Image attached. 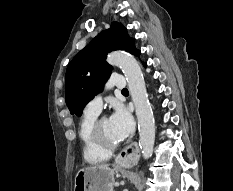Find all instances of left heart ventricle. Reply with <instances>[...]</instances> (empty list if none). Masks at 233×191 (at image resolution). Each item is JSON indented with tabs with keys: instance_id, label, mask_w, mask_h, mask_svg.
I'll return each instance as SVG.
<instances>
[{
	"instance_id": "b2bd125f",
	"label": "left heart ventricle",
	"mask_w": 233,
	"mask_h": 191,
	"mask_svg": "<svg viewBox=\"0 0 233 191\" xmlns=\"http://www.w3.org/2000/svg\"><path fill=\"white\" fill-rule=\"evenodd\" d=\"M101 130L105 138L111 142H118L115 137L109 119H104L101 123Z\"/></svg>"
}]
</instances>
